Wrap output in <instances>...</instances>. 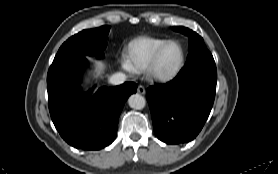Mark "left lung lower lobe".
<instances>
[{
    "mask_svg": "<svg viewBox=\"0 0 278 174\" xmlns=\"http://www.w3.org/2000/svg\"><path fill=\"white\" fill-rule=\"evenodd\" d=\"M216 83L217 72L198 69L150 86L146 98L158 139L168 144L193 140L210 114Z\"/></svg>",
    "mask_w": 278,
    "mask_h": 174,
    "instance_id": "obj_1",
    "label": "left lung lower lobe"
}]
</instances>
